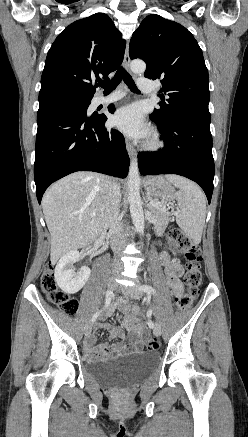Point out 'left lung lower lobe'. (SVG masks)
Listing matches in <instances>:
<instances>
[{
    "label": "left lung lower lobe",
    "mask_w": 248,
    "mask_h": 437,
    "mask_svg": "<svg viewBox=\"0 0 248 437\" xmlns=\"http://www.w3.org/2000/svg\"><path fill=\"white\" fill-rule=\"evenodd\" d=\"M164 148L158 152L139 153L142 175L178 174L198 183L210 203L213 192L214 160L210 113L177 114L169 124H161L155 116Z\"/></svg>",
    "instance_id": "left-lung-lower-lobe-1"
}]
</instances>
